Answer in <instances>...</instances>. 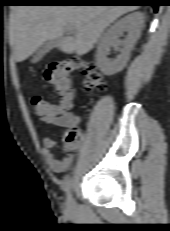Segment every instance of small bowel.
I'll return each mask as SVG.
<instances>
[{"label":"small bowel","instance_id":"obj_1","mask_svg":"<svg viewBox=\"0 0 170 231\" xmlns=\"http://www.w3.org/2000/svg\"><path fill=\"white\" fill-rule=\"evenodd\" d=\"M80 121L79 116L70 111L64 110L48 123L54 126L70 128L72 126L79 125ZM55 146L56 141L52 137L47 136L43 139V155L48 167L53 172L61 173L65 171L73 161L75 152L78 150L79 145L77 144L71 148L66 147V154L61 159H57L52 152V149Z\"/></svg>","mask_w":170,"mask_h":231}]
</instances>
